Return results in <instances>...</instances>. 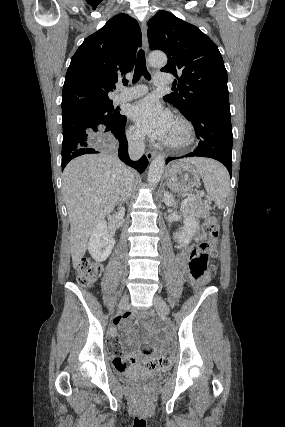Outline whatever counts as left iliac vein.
Listing matches in <instances>:
<instances>
[{"mask_svg": "<svg viewBox=\"0 0 285 427\" xmlns=\"http://www.w3.org/2000/svg\"><path fill=\"white\" fill-rule=\"evenodd\" d=\"M154 306L156 310L163 316L167 317L169 314L166 302L159 296L154 297Z\"/></svg>", "mask_w": 285, "mask_h": 427, "instance_id": "4c4485c4", "label": "left iliac vein"}]
</instances>
